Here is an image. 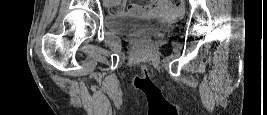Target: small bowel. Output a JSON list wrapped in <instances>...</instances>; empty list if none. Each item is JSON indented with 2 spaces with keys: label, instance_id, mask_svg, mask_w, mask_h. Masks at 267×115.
<instances>
[{
  "label": "small bowel",
  "instance_id": "c3829d8e",
  "mask_svg": "<svg viewBox=\"0 0 267 115\" xmlns=\"http://www.w3.org/2000/svg\"><path fill=\"white\" fill-rule=\"evenodd\" d=\"M127 11L132 14L167 15L178 13L180 8L173 6L169 0H158L149 4L131 3L128 5Z\"/></svg>",
  "mask_w": 267,
  "mask_h": 115
}]
</instances>
